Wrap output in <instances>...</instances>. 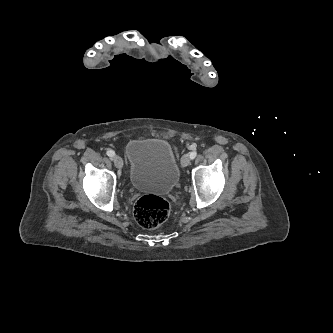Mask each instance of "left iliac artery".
<instances>
[{
	"label": "left iliac artery",
	"instance_id": "left-iliac-artery-1",
	"mask_svg": "<svg viewBox=\"0 0 333 333\" xmlns=\"http://www.w3.org/2000/svg\"><path fill=\"white\" fill-rule=\"evenodd\" d=\"M196 155H197V152H196V151H192V152H190V158H191V159H194V158L196 157Z\"/></svg>",
	"mask_w": 333,
	"mask_h": 333
}]
</instances>
